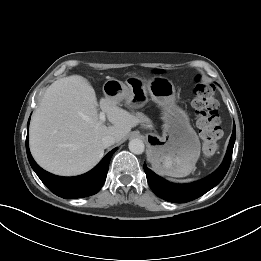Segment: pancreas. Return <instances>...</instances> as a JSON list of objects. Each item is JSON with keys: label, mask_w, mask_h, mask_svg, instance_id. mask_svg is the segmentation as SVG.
Segmentation results:
<instances>
[{"label": "pancreas", "mask_w": 261, "mask_h": 261, "mask_svg": "<svg viewBox=\"0 0 261 261\" xmlns=\"http://www.w3.org/2000/svg\"><path fill=\"white\" fill-rule=\"evenodd\" d=\"M139 115V117L142 119V120H144V121H146V122H149V120L146 118V117H144L142 114H138Z\"/></svg>", "instance_id": "pancreas-1"}]
</instances>
